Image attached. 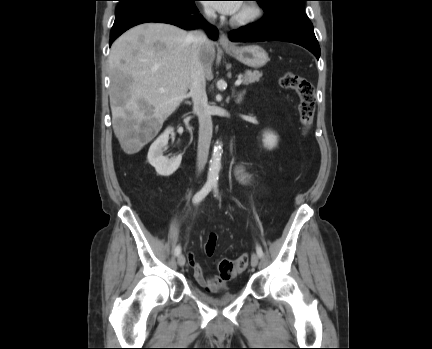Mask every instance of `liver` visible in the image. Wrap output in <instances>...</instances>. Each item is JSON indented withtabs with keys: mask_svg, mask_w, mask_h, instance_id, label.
I'll return each instance as SVG.
<instances>
[{
	"mask_svg": "<svg viewBox=\"0 0 432 349\" xmlns=\"http://www.w3.org/2000/svg\"><path fill=\"white\" fill-rule=\"evenodd\" d=\"M189 33L164 23L129 29L111 46L110 106L115 136L126 154L139 152L187 97L191 80ZM215 47L200 50L207 79L212 78Z\"/></svg>",
	"mask_w": 432,
	"mask_h": 349,
	"instance_id": "6515ba94",
	"label": "liver"
}]
</instances>
